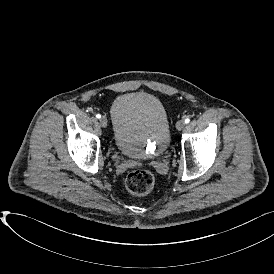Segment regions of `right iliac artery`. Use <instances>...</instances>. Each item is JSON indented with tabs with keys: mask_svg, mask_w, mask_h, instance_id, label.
I'll use <instances>...</instances> for the list:
<instances>
[{
	"mask_svg": "<svg viewBox=\"0 0 274 274\" xmlns=\"http://www.w3.org/2000/svg\"><path fill=\"white\" fill-rule=\"evenodd\" d=\"M96 117H97L98 119H100V118H101V115H100V114H97Z\"/></svg>",
	"mask_w": 274,
	"mask_h": 274,
	"instance_id": "82829eb1",
	"label": "right iliac artery"
}]
</instances>
